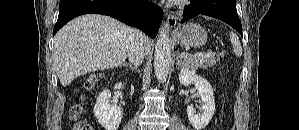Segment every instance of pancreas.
I'll list each match as a JSON object with an SVG mask.
<instances>
[{"label":"pancreas","instance_id":"obj_1","mask_svg":"<svg viewBox=\"0 0 299 130\" xmlns=\"http://www.w3.org/2000/svg\"><path fill=\"white\" fill-rule=\"evenodd\" d=\"M218 60L215 56L205 57L188 54L184 57L182 65L190 69H206L207 67L214 66Z\"/></svg>","mask_w":299,"mask_h":130}]
</instances>
